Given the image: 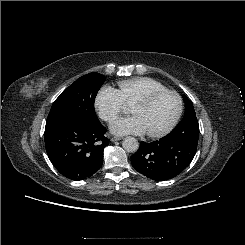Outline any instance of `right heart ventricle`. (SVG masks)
Wrapping results in <instances>:
<instances>
[{"instance_id": "obj_1", "label": "right heart ventricle", "mask_w": 245, "mask_h": 245, "mask_svg": "<svg viewBox=\"0 0 245 245\" xmlns=\"http://www.w3.org/2000/svg\"><path fill=\"white\" fill-rule=\"evenodd\" d=\"M166 87L150 77H136L118 82V93L124 103H132L137 98L153 92L165 90Z\"/></svg>"}]
</instances>
